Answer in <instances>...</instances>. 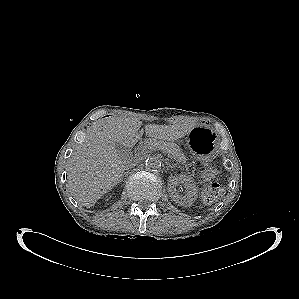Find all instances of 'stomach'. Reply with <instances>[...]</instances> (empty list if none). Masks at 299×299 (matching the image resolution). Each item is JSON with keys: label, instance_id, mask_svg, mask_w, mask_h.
I'll list each match as a JSON object with an SVG mask.
<instances>
[{"label": "stomach", "instance_id": "0dacf381", "mask_svg": "<svg viewBox=\"0 0 299 299\" xmlns=\"http://www.w3.org/2000/svg\"><path fill=\"white\" fill-rule=\"evenodd\" d=\"M187 150L200 161H211L220 152V141L210 127L197 126L188 134Z\"/></svg>", "mask_w": 299, "mask_h": 299}]
</instances>
